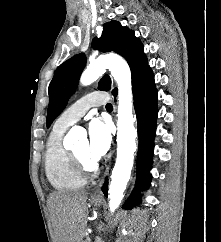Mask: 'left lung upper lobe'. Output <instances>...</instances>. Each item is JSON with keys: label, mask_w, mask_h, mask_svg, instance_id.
I'll list each match as a JSON object with an SVG mask.
<instances>
[{"label": "left lung upper lobe", "mask_w": 221, "mask_h": 242, "mask_svg": "<svg viewBox=\"0 0 221 242\" xmlns=\"http://www.w3.org/2000/svg\"><path fill=\"white\" fill-rule=\"evenodd\" d=\"M93 48L101 52L114 51L123 56L130 68L132 76L147 65V59L143 52V45L135 37L134 31L128 30L118 21L104 24L100 39H94ZM86 64L84 54H78L61 64L56 70L49 85V106L47 115V127L63 111L69 97L74 92L82 70ZM111 88V79L105 75L98 84V89L108 91ZM117 89H114L115 91Z\"/></svg>", "instance_id": "left-lung-upper-lobe-1"}]
</instances>
